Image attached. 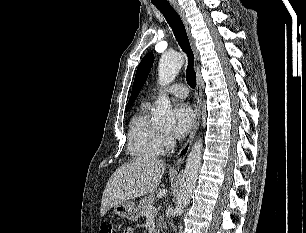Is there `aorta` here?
<instances>
[{
  "mask_svg": "<svg viewBox=\"0 0 306 233\" xmlns=\"http://www.w3.org/2000/svg\"><path fill=\"white\" fill-rule=\"evenodd\" d=\"M183 63L184 59L180 53H166L162 55L158 66L159 83L164 86L170 84L179 73ZM172 121L173 114L170 100L165 95L160 96L157 100L154 122L159 127H167L171 125ZM202 150L203 144L200 138L194 143L187 157L179 192L176 197L174 209L176 215H181L190 201L201 168Z\"/></svg>",
  "mask_w": 306,
  "mask_h": 233,
  "instance_id": "762f6f07",
  "label": "aorta"
}]
</instances>
